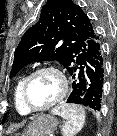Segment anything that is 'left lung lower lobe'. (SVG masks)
<instances>
[{"instance_id": "1", "label": "left lung lower lobe", "mask_w": 117, "mask_h": 136, "mask_svg": "<svg viewBox=\"0 0 117 136\" xmlns=\"http://www.w3.org/2000/svg\"><path fill=\"white\" fill-rule=\"evenodd\" d=\"M105 68L104 48L97 35L90 39L86 51L78 55L69 70L73 83L67 103L81 104L100 112Z\"/></svg>"}]
</instances>
